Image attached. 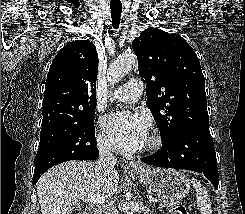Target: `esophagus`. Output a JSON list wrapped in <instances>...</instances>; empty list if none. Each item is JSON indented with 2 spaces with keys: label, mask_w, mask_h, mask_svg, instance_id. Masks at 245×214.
<instances>
[{
  "label": "esophagus",
  "mask_w": 245,
  "mask_h": 214,
  "mask_svg": "<svg viewBox=\"0 0 245 214\" xmlns=\"http://www.w3.org/2000/svg\"><path fill=\"white\" fill-rule=\"evenodd\" d=\"M129 166L132 167V168H136V167H140V164L131 161V162H129Z\"/></svg>",
  "instance_id": "obj_1"
}]
</instances>
